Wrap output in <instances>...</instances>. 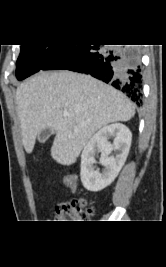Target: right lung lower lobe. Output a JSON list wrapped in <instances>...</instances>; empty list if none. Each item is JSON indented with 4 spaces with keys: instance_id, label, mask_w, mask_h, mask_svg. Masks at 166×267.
<instances>
[{
    "instance_id": "obj_1",
    "label": "right lung lower lobe",
    "mask_w": 166,
    "mask_h": 267,
    "mask_svg": "<svg viewBox=\"0 0 166 267\" xmlns=\"http://www.w3.org/2000/svg\"><path fill=\"white\" fill-rule=\"evenodd\" d=\"M66 69L91 75L142 104V69L136 48L64 45L41 70Z\"/></svg>"
}]
</instances>
